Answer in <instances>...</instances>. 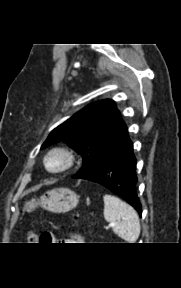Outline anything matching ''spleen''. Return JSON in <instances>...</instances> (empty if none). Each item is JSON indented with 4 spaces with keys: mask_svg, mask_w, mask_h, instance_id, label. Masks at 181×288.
I'll return each instance as SVG.
<instances>
[{
    "mask_svg": "<svg viewBox=\"0 0 181 288\" xmlns=\"http://www.w3.org/2000/svg\"><path fill=\"white\" fill-rule=\"evenodd\" d=\"M104 218L114 224L113 231L119 237L135 243L140 234V223L136 211L113 195H104Z\"/></svg>",
    "mask_w": 181,
    "mask_h": 288,
    "instance_id": "obj_1",
    "label": "spleen"
}]
</instances>
